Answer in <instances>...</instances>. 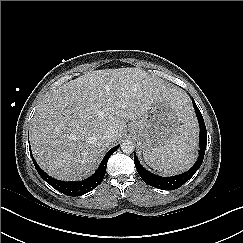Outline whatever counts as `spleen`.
Wrapping results in <instances>:
<instances>
[{"instance_id":"3e777b00","label":"spleen","mask_w":243,"mask_h":243,"mask_svg":"<svg viewBox=\"0 0 243 243\" xmlns=\"http://www.w3.org/2000/svg\"><path fill=\"white\" fill-rule=\"evenodd\" d=\"M196 136L189 123L181 125L169 144L152 154H144V161L155 170L175 174L189 169L195 160Z\"/></svg>"}]
</instances>
